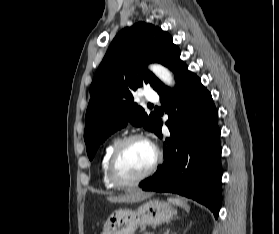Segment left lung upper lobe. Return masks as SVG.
<instances>
[{"instance_id":"obj_1","label":"left lung upper lobe","mask_w":279,"mask_h":234,"mask_svg":"<svg viewBox=\"0 0 279 234\" xmlns=\"http://www.w3.org/2000/svg\"><path fill=\"white\" fill-rule=\"evenodd\" d=\"M178 50L167 32L144 22L116 35L90 86L84 131L90 160L108 136L129 122L156 132L160 118L154 113L147 115L132 93L144 83L156 89L161 82L147 70V64L168 66Z\"/></svg>"}]
</instances>
